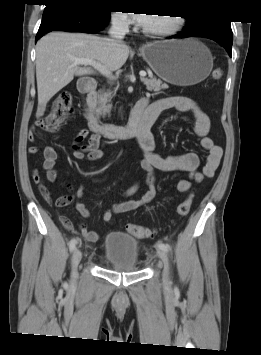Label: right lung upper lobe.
Instances as JSON below:
<instances>
[{
	"label": "right lung upper lobe",
	"mask_w": 261,
	"mask_h": 355,
	"mask_svg": "<svg viewBox=\"0 0 261 355\" xmlns=\"http://www.w3.org/2000/svg\"><path fill=\"white\" fill-rule=\"evenodd\" d=\"M46 3H54V2H62V1H76V2H81L84 0H45Z\"/></svg>",
	"instance_id": "obj_1"
}]
</instances>
